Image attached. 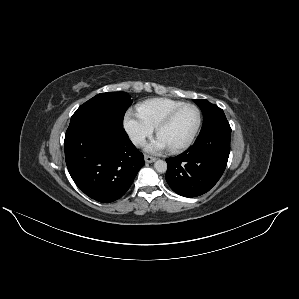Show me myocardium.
I'll use <instances>...</instances> for the list:
<instances>
[{
	"mask_svg": "<svg viewBox=\"0 0 299 299\" xmlns=\"http://www.w3.org/2000/svg\"><path fill=\"white\" fill-rule=\"evenodd\" d=\"M186 107H193L196 111H197V115H198V120H197V124H196V127L193 131V133L191 134V136L189 137V139L178 145V146H175V147H172L170 148L173 152H180L182 150H185L187 149L189 146H191V144L194 142L195 138L197 137L199 131H200V128H201V125H202V112L200 110V108L193 104V103H184L178 107H176L175 109H173L172 111H170L160 122L159 124L157 125L156 127V132L157 134L159 135L161 130L166 127L167 125H169L173 119L176 117V115L184 108Z\"/></svg>",
	"mask_w": 299,
	"mask_h": 299,
	"instance_id": "f54148a6",
	"label": "myocardium"
}]
</instances>
